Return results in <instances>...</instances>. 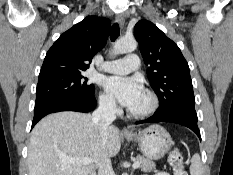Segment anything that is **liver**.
I'll return each mask as SVG.
<instances>
[{
	"mask_svg": "<svg viewBox=\"0 0 233 175\" xmlns=\"http://www.w3.org/2000/svg\"><path fill=\"white\" fill-rule=\"evenodd\" d=\"M121 148L118 128L109 126L107 136L90 114L64 111L50 114L31 132L28 150L29 175H90L104 156L114 157ZM90 158V165L66 162Z\"/></svg>",
	"mask_w": 233,
	"mask_h": 175,
	"instance_id": "6515ba94",
	"label": "liver"
}]
</instances>
